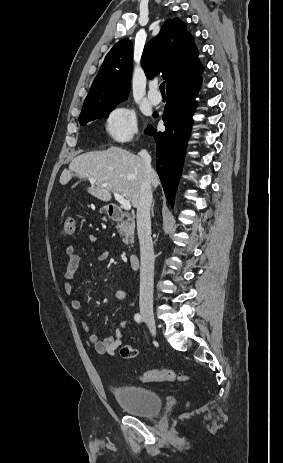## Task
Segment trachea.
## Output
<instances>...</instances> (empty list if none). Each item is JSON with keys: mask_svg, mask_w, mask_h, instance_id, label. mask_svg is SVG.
<instances>
[{"mask_svg": "<svg viewBox=\"0 0 283 463\" xmlns=\"http://www.w3.org/2000/svg\"><path fill=\"white\" fill-rule=\"evenodd\" d=\"M159 88H160V92H161L162 94H165V83H164V82L160 84V87H159Z\"/></svg>", "mask_w": 283, "mask_h": 463, "instance_id": "3493384b", "label": "trachea"}]
</instances>
